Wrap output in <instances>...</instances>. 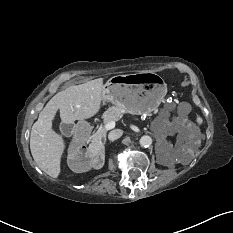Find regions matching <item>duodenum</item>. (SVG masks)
<instances>
[{
    "mask_svg": "<svg viewBox=\"0 0 233 233\" xmlns=\"http://www.w3.org/2000/svg\"><path fill=\"white\" fill-rule=\"evenodd\" d=\"M90 138H91V133L88 127L83 124L79 125L75 132V139L77 141H85V140H89Z\"/></svg>",
    "mask_w": 233,
    "mask_h": 233,
    "instance_id": "duodenum-1",
    "label": "duodenum"
}]
</instances>
